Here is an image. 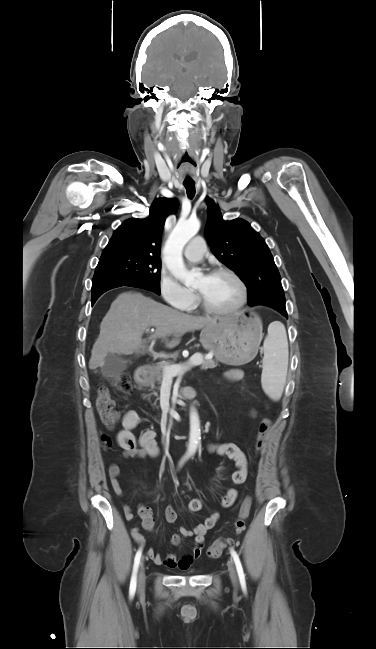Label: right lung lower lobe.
<instances>
[{
  "mask_svg": "<svg viewBox=\"0 0 376 649\" xmlns=\"http://www.w3.org/2000/svg\"><path fill=\"white\" fill-rule=\"evenodd\" d=\"M120 286H131V287H137V288H142V289H145V290L152 291V289L150 287H147V286L142 285V284L107 283V284H103V285L99 286L98 288L92 290V304L94 305V303L98 299V297L101 296L104 292H106V291H108V290H110L112 288H116V287H120Z\"/></svg>",
  "mask_w": 376,
  "mask_h": 649,
  "instance_id": "98d812e1",
  "label": "right lung lower lobe"
}]
</instances>
